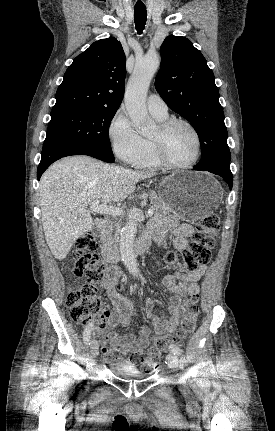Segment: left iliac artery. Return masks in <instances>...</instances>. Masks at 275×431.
<instances>
[{
  "instance_id": "44dca946",
  "label": "left iliac artery",
  "mask_w": 275,
  "mask_h": 431,
  "mask_svg": "<svg viewBox=\"0 0 275 431\" xmlns=\"http://www.w3.org/2000/svg\"><path fill=\"white\" fill-rule=\"evenodd\" d=\"M169 351H170L171 353H173L174 355H176V356H180V355H182V350H181V348H180V347H178L177 345H170V346H169Z\"/></svg>"
}]
</instances>
